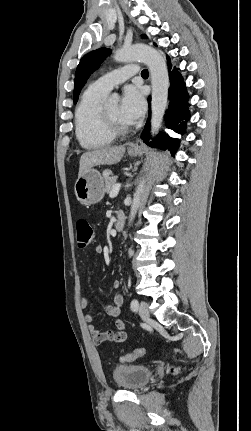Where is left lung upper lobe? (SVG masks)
<instances>
[{
    "instance_id": "left-lung-upper-lobe-1",
    "label": "left lung upper lobe",
    "mask_w": 251,
    "mask_h": 431,
    "mask_svg": "<svg viewBox=\"0 0 251 431\" xmlns=\"http://www.w3.org/2000/svg\"><path fill=\"white\" fill-rule=\"evenodd\" d=\"M110 53V49L102 47L82 57L75 73L74 103L77 102L80 91L91 73L100 67Z\"/></svg>"
}]
</instances>
